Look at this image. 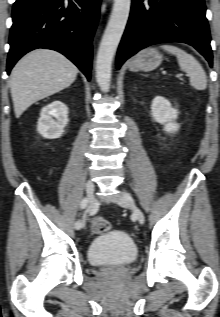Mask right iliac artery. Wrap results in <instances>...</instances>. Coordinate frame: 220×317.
Instances as JSON below:
<instances>
[{"label":"right iliac artery","instance_id":"82829eb1","mask_svg":"<svg viewBox=\"0 0 220 317\" xmlns=\"http://www.w3.org/2000/svg\"><path fill=\"white\" fill-rule=\"evenodd\" d=\"M87 204H88V200H87V198H84V199L81 201V203H80V208H81V209H85V208L87 207ZM81 227H82L81 222H80V221H77V222L75 223V228H76V229H80Z\"/></svg>","mask_w":220,"mask_h":317}]
</instances>
